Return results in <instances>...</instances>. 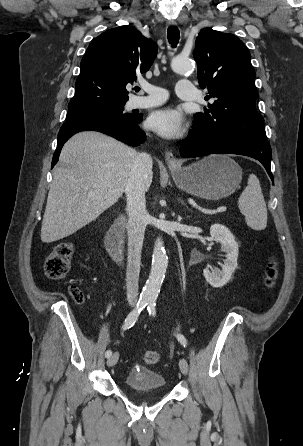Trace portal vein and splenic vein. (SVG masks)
I'll use <instances>...</instances> for the list:
<instances>
[{
    "label": "portal vein and splenic vein",
    "mask_w": 303,
    "mask_h": 446,
    "mask_svg": "<svg viewBox=\"0 0 303 446\" xmlns=\"http://www.w3.org/2000/svg\"><path fill=\"white\" fill-rule=\"evenodd\" d=\"M93 194L91 193L90 196ZM227 208L225 206L218 207L214 212H225Z\"/></svg>",
    "instance_id": "portal-vein-and-splenic-vein-1"
}]
</instances>
